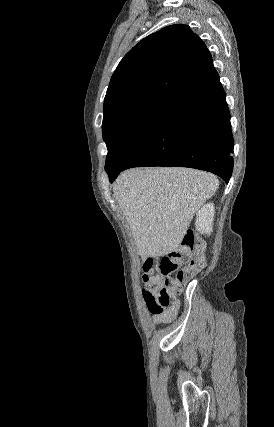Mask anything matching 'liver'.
<instances>
[{"label": "liver", "instance_id": "1", "mask_svg": "<svg viewBox=\"0 0 274 427\" xmlns=\"http://www.w3.org/2000/svg\"><path fill=\"white\" fill-rule=\"evenodd\" d=\"M218 188L216 176L190 168H133L113 184L142 257L178 249L193 215Z\"/></svg>", "mask_w": 274, "mask_h": 427}]
</instances>
